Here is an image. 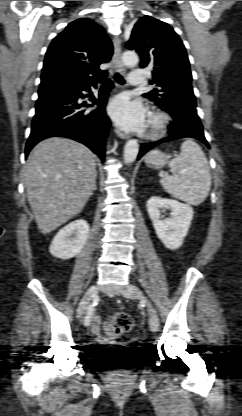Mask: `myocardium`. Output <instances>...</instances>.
I'll return each instance as SVG.
<instances>
[{"mask_svg":"<svg viewBox=\"0 0 242 416\" xmlns=\"http://www.w3.org/2000/svg\"><path fill=\"white\" fill-rule=\"evenodd\" d=\"M170 117L161 111H151L148 115L145 135L148 138H157L167 129Z\"/></svg>","mask_w":242,"mask_h":416,"instance_id":"obj_1","label":"myocardium"}]
</instances>
